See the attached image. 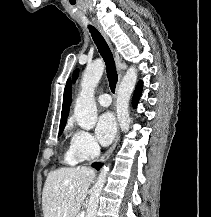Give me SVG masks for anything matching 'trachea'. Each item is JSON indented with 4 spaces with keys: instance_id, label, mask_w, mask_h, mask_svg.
<instances>
[{
    "instance_id": "obj_1",
    "label": "trachea",
    "mask_w": 211,
    "mask_h": 217,
    "mask_svg": "<svg viewBox=\"0 0 211 217\" xmlns=\"http://www.w3.org/2000/svg\"><path fill=\"white\" fill-rule=\"evenodd\" d=\"M89 31L91 33V36L94 40V43L96 44L98 51L102 58L104 59L105 65H106V72H107V77L109 81V86L111 91L114 93L115 88H116V83L118 80V75L115 67V62L114 58L112 55V52L101 35V33L93 26L88 25Z\"/></svg>"
}]
</instances>
